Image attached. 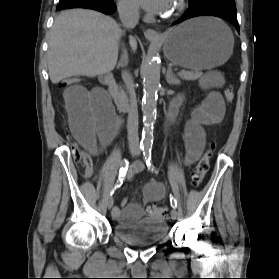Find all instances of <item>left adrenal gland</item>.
Masks as SVG:
<instances>
[{
  "instance_id": "left-adrenal-gland-1",
  "label": "left adrenal gland",
  "mask_w": 279,
  "mask_h": 279,
  "mask_svg": "<svg viewBox=\"0 0 279 279\" xmlns=\"http://www.w3.org/2000/svg\"><path fill=\"white\" fill-rule=\"evenodd\" d=\"M166 81L169 85L178 86L180 84V80L173 73L172 67H168V70H167V73H166Z\"/></svg>"
}]
</instances>
